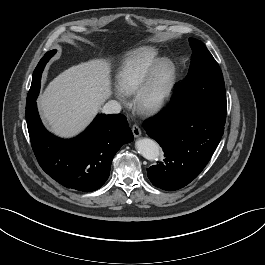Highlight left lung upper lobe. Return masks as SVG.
Masks as SVG:
<instances>
[{
    "mask_svg": "<svg viewBox=\"0 0 265 265\" xmlns=\"http://www.w3.org/2000/svg\"><path fill=\"white\" fill-rule=\"evenodd\" d=\"M193 54L186 78L177 88L172 106L191 105L226 120V92L222 71L206 46L189 38Z\"/></svg>",
    "mask_w": 265,
    "mask_h": 265,
    "instance_id": "5c2ea615",
    "label": "left lung upper lobe"
}]
</instances>
